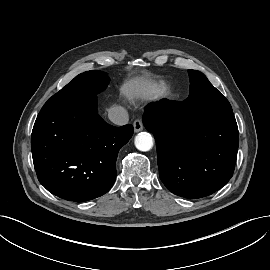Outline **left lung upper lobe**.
<instances>
[{
	"label": "left lung upper lobe",
	"mask_w": 270,
	"mask_h": 270,
	"mask_svg": "<svg viewBox=\"0 0 270 270\" xmlns=\"http://www.w3.org/2000/svg\"><path fill=\"white\" fill-rule=\"evenodd\" d=\"M190 94H195L202 113L233 112L228 100L197 70H188Z\"/></svg>",
	"instance_id": "obj_1"
}]
</instances>
